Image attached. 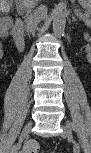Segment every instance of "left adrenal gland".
Masks as SVG:
<instances>
[{"label": "left adrenal gland", "instance_id": "1", "mask_svg": "<svg viewBox=\"0 0 91 153\" xmlns=\"http://www.w3.org/2000/svg\"><path fill=\"white\" fill-rule=\"evenodd\" d=\"M72 21L77 23V19L74 16H72Z\"/></svg>", "mask_w": 91, "mask_h": 153}]
</instances>
